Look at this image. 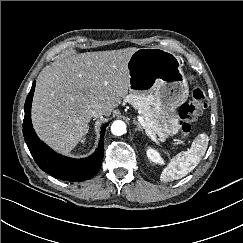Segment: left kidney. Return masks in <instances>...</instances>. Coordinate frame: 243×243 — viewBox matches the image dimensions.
I'll use <instances>...</instances> for the list:
<instances>
[{
	"label": "left kidney",
	"mask_w": 243,
	"mask_h": 243,
	"mask_svg": "<svg viewBox=\"0 0 243 243\" xmlns=\"http://www.w3.org/2000/svg\"><path fill=\"white\" fill-rule=\"evenodd\" d=\"M147 157L154 163H158V164H163L164 161L161 158L160 154L154 150V149H148L147 150Z\"/></svg>",
	"instance_id": "left-kidney-1"
}]
</instances>
